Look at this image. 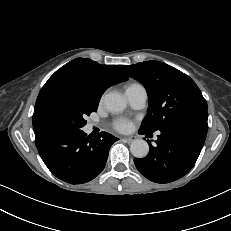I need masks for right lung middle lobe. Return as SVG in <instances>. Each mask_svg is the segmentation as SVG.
<instances>
[{
	"label": "right lung middle lobe",
	"instance_id": "obj_1",
	"mask_svg": "<svg viewBox=\"0 0 231 231\" xmlns=\"http://www.w3.org/2000/svg\"><path fill=\"white\" fill-rule=\"evenodd\" d=\"M100 97L82 83L57 86L38 97L33 114L36 136L75 133L86 125V116L96 112Z\"/></svg>",
	"mask_w": 231,
	"mask_h": 231
}]
</instances>
